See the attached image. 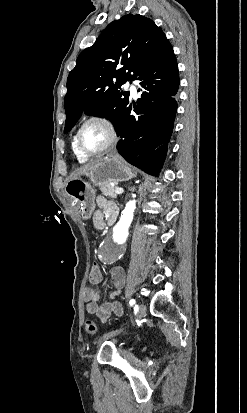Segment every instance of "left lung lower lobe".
Segmentation results:
<instances>
[{"instance_id":"1","label":"left lung lower lobe","mask_w":247,"mask_h":413,"mask_svg":"<svg viewBox=\"0 0 247 413\" xmlns=\"http://www.w3.org/2000/svg\"><path fill=\"white\" fill-rule=\"evenodd\" d=\"M142 91L134 108L137 117L130 116L131 105L117 129L122 138L119 154L132 165L157 175L167 153L177 111L179 88L178 64L172 46L153 60L137 79Z\"/></svg>"}]
</instances>
